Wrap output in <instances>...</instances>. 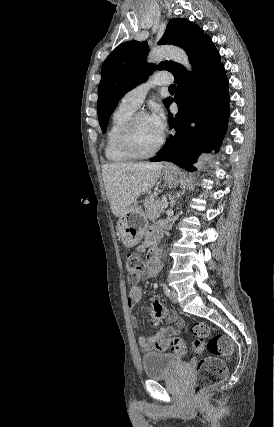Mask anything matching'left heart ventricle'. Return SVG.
Returning a JSON list of instances; mask_svg holds the SVG:
<instances>
[{
  "label": "left heart ventricle",
  "mask_w": 274,
  "mask_h": 427,
  "mask_svg": "<svg viewBox=\"0 0 274 427\" xmlns=\"http://www.w3.org/2000/svg\"><path fill=\"white\" fill-rule=\"evenodd\" d=\"M162 136L163 135L158 133L152 126L148 115L142 116L134 129V148L141 154L149 153L157 146Z\"/></svg>",
  "instance_id": "b2bd125f"
}]
</instances>
